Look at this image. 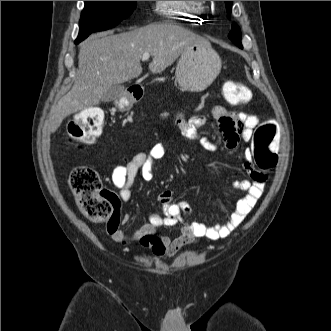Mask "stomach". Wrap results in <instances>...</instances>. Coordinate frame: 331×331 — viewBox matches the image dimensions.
Segmentation results:
<instances>
[{
	"label": "stomach",
	"instance_id": "1",
	"mask_svg": "<svg viewBox=\"0 0 331 331\" xmlns=\"http://www.w3.org/2000/svg\"><path fill=\"white\" fill-rule=\"evenodd\" d=\"M221 66V59L209 42L195 43L181 54L176 67V81L182 90L200 92L214 81ZM131 106L132 101L126 97L118 103L122 110Z\"/></svg>",
	"mask_w": 331,
	"mask_h": 331
}]
</instances>
